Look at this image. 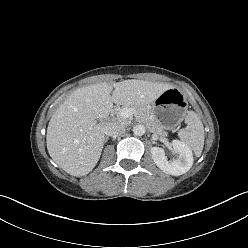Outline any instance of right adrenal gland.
<instances>
[{"label":"right adrenal gland","instance_id":"1","mask_svg":"<svg viewBox=\"0 0 248 248\" xmlns=\"http://www.w3.org/2000/svg\"><path fill=\"white\" fill-rule=\"evenodd\" d=\"M108 137L105 138V142H107Z\"/></svg>","mask_w":248,"mask_h":248}]
</instances>
